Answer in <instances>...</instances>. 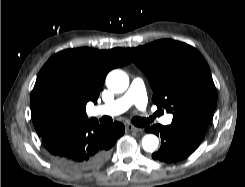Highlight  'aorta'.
I'll list each match as a JSON object with an SVG mask.
<instances>
[{
    "instance_id": "1",
    "label": "aorta",
    "mask_w": 245,
    "mask_h": 187,
    "mask_svg": "<svg viewBox=\"0 0 245 187\" xmlns=\"http://www.w3.org/2000/svg\"><path fill=\"white\" fill-rule=\"evenodd\" d=\"M106 85L114 93H122L129 86V78L122 70L111 71L106 78ZM159 144L158 138L153 134L145 135L142 139V147L147 152H154Z\"/></svg>"
}]
</instances>
